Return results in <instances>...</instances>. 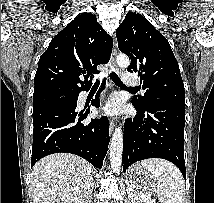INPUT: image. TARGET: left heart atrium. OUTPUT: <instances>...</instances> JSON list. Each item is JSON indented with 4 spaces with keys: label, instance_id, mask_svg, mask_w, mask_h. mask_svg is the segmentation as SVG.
<instances>
[{
    "label": "left heart atrium",
    "instance_id": "1",
    "mask_svg": "<svg viewBox=\"0 0 214 203\" xmlns=\"http://www.w3.org/2000/svg\"><path fill=\"white\" fill-rule=\"evenodd\" d=\"M102 111L107 115H117L121 111V103L117 98L113 97L106 103Z\"/></svg>",
    "mask_w": 214,
    "mask_h": 203
}]
</instances>
